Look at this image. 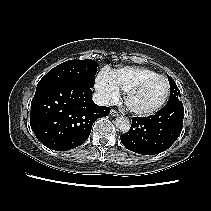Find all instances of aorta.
<instances>
[{
    "instance_id": "1",
    "label": "aorta",
    "mask_w": 211,
    "mask_h": 211,
    "mask_svg": "<svg viewBox=\"0 0 211 211\" xmlns=\"http://www.w3.org/2000/svg\"><path fill=\"white\" fill-rule=\"evenodd\" d=\"M115 125L123 133L128 132L131 126L129 119L123 116L116 118Z\"/></svg>"
}]
</instances>
